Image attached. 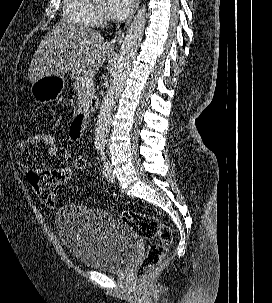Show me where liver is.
<instances>
[{
    "mask_svg": "<svg viewBox=\"0 0 272 303\" xmlns=\"http://www.w3.org/2000/svg\"><path fill=\"white\" fill-rule=\"evenodd\" d=\"M108 49L97 31L83 25L59 24L39 44L29 66V81L60 77L68 71L90 73L103 65Z\"/></svg>",
    "mask_w": 272,
    "mask_h": 303,
    "instance_id": "obj_1",
    "label": "liver"
}]
</instances>
